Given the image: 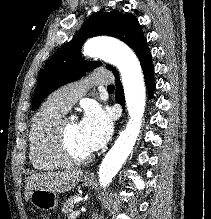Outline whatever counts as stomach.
I'll list each match as a JSON object with an SVG mask.
<instances>
[{
  "label": "stomach",
  "instance_id": "stomach-1",
  "mask_svg": "<svg viewBox=\"0 0 211 219\" xmlns=\"http://www.w3.org/2000/svg\"><path fill=\"white\" fill-rule=\"evenodd\" d=\"M83 186H89L91 179L84 176L82 179ZM30 203L39 210H54L58 206V197L55 193L38 189L31 191L29 195Z\"/></svg>",
  "mask_w": 211,
  "mask_h": 219
}]
</instances>
